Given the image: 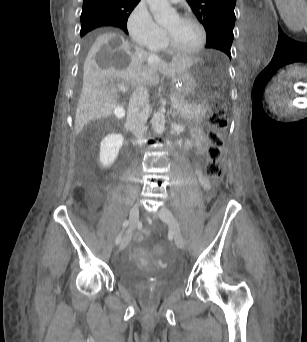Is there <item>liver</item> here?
I'll return each instance as SVG.
<instances>
[{"label":"liver","instance_id":"6515ba94","mask_svg":"<svg viewBox=\"0 0 307 342\" xmlns=\"http://www.w3.org/2000/svg\"><path fill=\"white\" fill-rule=\"evenodd\" d=\"M119 38V40H114ZM197 60L186 56H173L171 62H163L152 52L129 44L118 34H101L96 38L83 68V86L75 116V134H80L91 120L111 116L119 98L116 90L105 80H125L134 88L158 84L159 74L175 78L191 68Z\"/></svg>","mask_w":307,"mask_h":342}]
</instances>
